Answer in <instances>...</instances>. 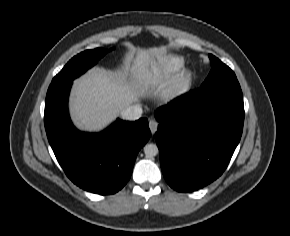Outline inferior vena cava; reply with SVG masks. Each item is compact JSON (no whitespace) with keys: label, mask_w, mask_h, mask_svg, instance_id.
<instances>
[{"label":"inferior vena cava","mask_w":290,"mask_h":236,"mask_svg":"<svg viewBox=\"0 0 290 236\" xmlns=\"http://www.w3.org/2000/svg\"><path fill=\"white\" fill-rule=\"evenodd\" d=\"M121 115L126 120H137L142 115V108L139 105H132L124 110Z\"/></svg>","instance_id":"inferior-vena-cava-1"}]
</instances>
